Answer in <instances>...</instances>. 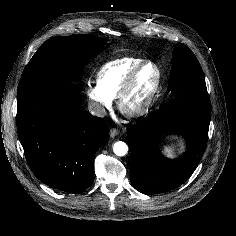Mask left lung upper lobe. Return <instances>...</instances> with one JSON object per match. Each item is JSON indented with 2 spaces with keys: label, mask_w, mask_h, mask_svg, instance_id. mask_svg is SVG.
<instances>
[{
  "label": "left lung upper lobe",
  "mask_w": 236,
  "mask_h": 236,
  "mask_svg": "<svg viewBox=\"0 0 236 236\" xmlns=\"http://www.w3.org/2000/svg\"><path fill=\"white\" fill-rule=\"evenodd\" d=\"M168 90L174 96L191 92H207L201 66L196 56L182 43L173 52Z\"/></svg>",
  "instance_id": "1"
}]
</instances>
